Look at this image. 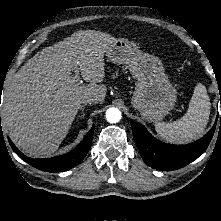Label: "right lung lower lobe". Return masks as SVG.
I'll return each instance as SVG.
<instances>
[{
    "instance_id": "right-lung-lower-lobe-1",
    "label": "right lung lower lobe",
    "mask_w": 221,
    "mask_h": 221,
    "mask_svg": "<svg viewBox=\"0 0 221 221\" xmlns=\"http://www.w3.org/2000/svg\"><path fill=\"white\" fill-rule=\"evenodd\" d=\"M0 127H1V118H0ZM94 125L92 126L91 130L87 133L81 143L71 152L53 157V158H28L27 156L23 155L12 143V141L8 138L9 143L12 149L17 153V155L27 162L28 164L32 165L33 167L46 171V172H61L66 171L70 168L75 167L79 164L84 157L86 156L87 152L89 151L92 143L93 132H94Z\"/></svg>"
}]
</instances>
